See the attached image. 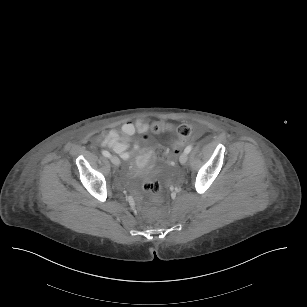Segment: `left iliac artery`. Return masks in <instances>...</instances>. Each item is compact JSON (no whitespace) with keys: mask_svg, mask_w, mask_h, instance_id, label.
<instances>
[{"mask_svg":"<svg viewBox=\"0 0 307 307\" xmlns=\"http://www.w3.org/2000/svg\"><path fill=\"white\" fill-rule=\"evenodd\" d=\"M191 150H192V146L189 145L185 148L184 152L188 154Z\"/></svg>","mask_w":307,"mask_h":307,"instance_id":"obj_1","label":"left iliac artery"}]
</instances>
